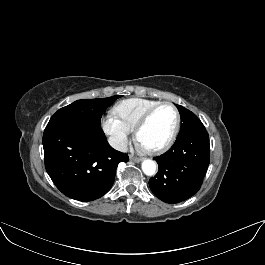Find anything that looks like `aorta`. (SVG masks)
<instances>
[{"instance_id": "1", "label": "aorta", "mask_w": 265, "mask_h": 265, "mask_svg": "<svg viewBox=\"0 0 265 265\" xmlns=\"http://www.w3.org/2000/svg\"><path fill=\"white\" fill-rule=\"evenodd\" d=\"M141 167L142 171L147 176H152L156 173L157 165L153 160L150 159L143 160Z\"/></svg>"}]
</instances>
